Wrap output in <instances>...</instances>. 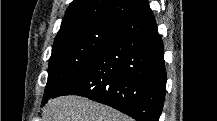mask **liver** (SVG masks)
I'll list each match as a JSON object with an SVG mask.
<instances>
[{
	"label": "liver",
	"mask_w": 217,
	"mask_h": 121,
	"mask_svg": "<svg viewBox=\"0 0 217 121\" xmlns=\"http://www.w3.org/2000/svg\"><path fill=\"white\" fill-rule=\"evenodd\" d=\"M42 116L44 121H132L109 106L79 96L51 99Z\"/></svg>",
	"instance_id": "liver-1"
}]
</instances>
